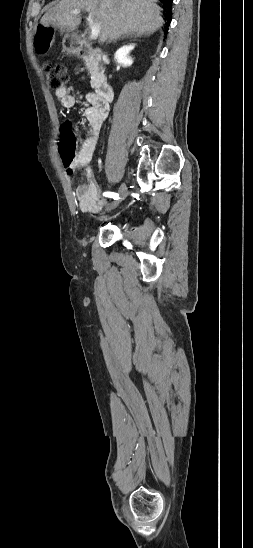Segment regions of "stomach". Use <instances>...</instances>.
<instances>
[{
	"mask_svg": "<svg viewBox=\"0 0 253 548\" xmlns=\"http://www.w3.org/2000/svg\"><path fill=\"white\" fill-rule=\"evenodd\" d=\"M70 36H66L63 41V48L68 53H75L77 51V46L72 43H68Z\"/></svg>",
	"mask_w": 253,
	"mask_h": 548,
	"instance_id": "1",
	"label": "stomach"
}]
</instances>
